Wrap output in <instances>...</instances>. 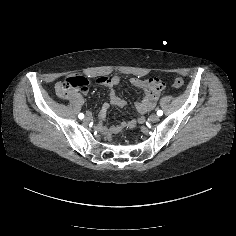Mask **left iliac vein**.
<instances>
[{"label":"left iliac vein","instance_id":"left-iliac-vein-1","mask_svg":"<svg viewBox=\"0 0 236 236\" xmlns=\"http://www.w3.org/2000/svg\"><path fill=\"white\" fill-rule=\"evenodd\" d=\"M159 116L157 115V114H151L150 116H149V121L150 122H157L158 120H159Z\"/></svg>","mask_w":236,"mask_h":236}]
</instances>
